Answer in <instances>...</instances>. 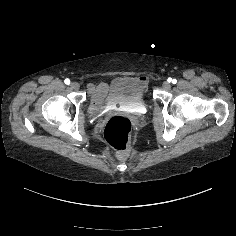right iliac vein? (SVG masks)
Listing matches in <instances>:
<instances>
[{
    "mask_svg": "<svg viewBox=\"0 0 236 236\" xmlns=\"http://www.w3.org/2000/svg\"><path fill=\"white\" fill-rule=\"evenodd\" d=\"M70 87H71L72 89H74V90H79L80 85H79V83H77V82H72V83L70 84Z\"/></svg>",
    "mask_w": 236,
    "mask_h": 236,
    "instance_id": "63e3f726",
    "label": "right iliac vein"
}]
</instances>
